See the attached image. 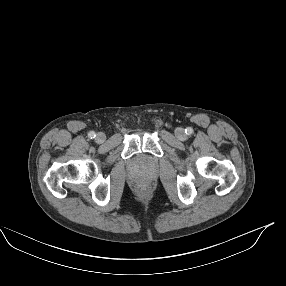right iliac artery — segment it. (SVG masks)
<instances>
[{
	"instance_id": "1",
	"label": "right iliac artery",
	"mask_w": 286,
	"mask_h": 286,
	"mask_svg": "<svg viewBox=\"0 0 286 286\" xmlns=\"http://www.w3.org/2000/svg\"><path fill=\"white\" fill-rule=\"evenodd\" d=\"M88 136L90 139H93L96 137V134H95V132L91 131V132H89Z\"/></svg>"
}]
</instances>
